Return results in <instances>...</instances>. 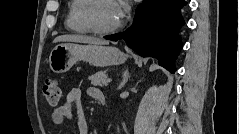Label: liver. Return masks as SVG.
Masks as SVG:
<instances>
[{"label": "liver", "instance_id": "6515ba94", "mask_svg": "<svg viewBox=\"0 0 239 134\" xmlns=\"http://www.w3.org/2000/svg\"><path fill=\"white\" fill-rule=\"evenodd\" d=\"M57 42H79V43H88V44H97L105 45L108 44V41L102 40L99 38H94L85 35H62L54 39V43Z\"/></svg>", "mask_w": 239, "mask_h": 134}]
</instances>
